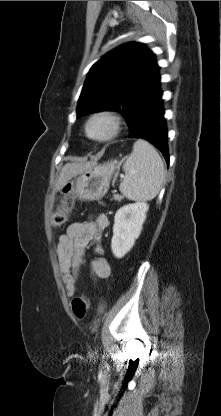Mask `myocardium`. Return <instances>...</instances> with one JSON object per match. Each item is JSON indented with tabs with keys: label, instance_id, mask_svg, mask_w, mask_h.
<instances>
[{
	"label": "myocardium",
	"instance_id": "1",
	"mask_svg": "<svg viewBox=\"0 0 221 416\" xmlns=\"http://www.w3.org/2000/svg\"><path fill=\"white\" fill-rule=\"evenodd\" d=\"M102 121L106 124V130L100 135H94L91 132V126L97 122ZM121 128L120 117L113 111L100 110L92 113L85 123L86 136L95 142H107L116 137Z\"/></svg>",
	"mask_w": 221,
	"mask_h": 416
}]
</instances>
